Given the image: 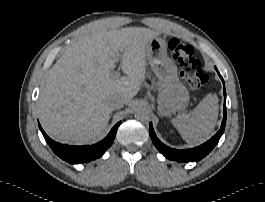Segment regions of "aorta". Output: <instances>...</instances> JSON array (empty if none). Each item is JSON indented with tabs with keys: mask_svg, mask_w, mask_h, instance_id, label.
<instances>
[{
	"mask_svg": "<svg viewBox=\"0 0 265 202\" xmlns=\"http://www.w3.org/2000/svg\"><path fill=\"white\" fill-rule=\"evenodd\" d=\"M134 116L140 121H148L150 119V111L144 104H140L135 108Z\"/></svg>",
	"mask_w": 265,
	"mask_h": 202,
	"instance_id": "762f6f07",
	"label": "aorta"
}]
</instances>
